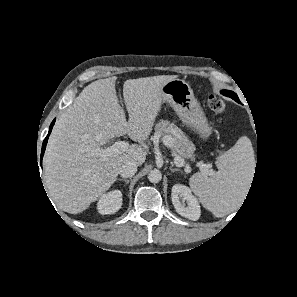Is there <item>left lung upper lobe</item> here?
Returning a JSON list of instances; mask_svg holds the SVG:
<instances>
[{"label": "left lung upper lobe", "instance_id": "5c2ea615", "mask_svg": "<svg viewBox=\"0 0 297 297\" xmlns=\"http://www.w3.org/2000/svg\"><path fill=\"white\" fill-rule=\"evenodd\" d=\"M222 94L225 95V96H228V97H231L232 99H238V96L232 92V91H228V90H223L222 91Z\"/></svg>", "mask_w": 297, "mask_h": 297}]
</instances>
